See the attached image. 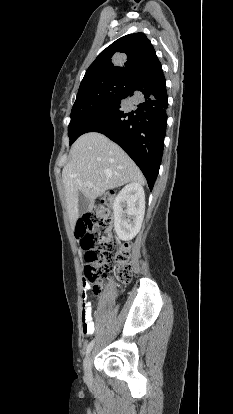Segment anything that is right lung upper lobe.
<instances>
[{
	"label": "right lung upper lobe",
	"instance_id": "obj_1",
	"mask_svg": "<svg viewBox=\"0 0 233 414\" xmlns=\"http://www.w3.org/2000/svg\"><path fill=\"white\" fill-rule=\"evenodd\" d=\"M162 71L155 50L144 33L123 36L104 49L87 69L80 87L103 78L146 79Z\"/></svg>",
	"mask_w": 233,
	"mask_h": 414
}]
</instances>
